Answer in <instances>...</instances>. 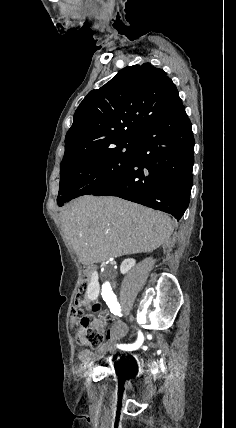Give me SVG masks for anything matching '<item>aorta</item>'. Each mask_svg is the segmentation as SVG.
I'll return each mask as SVG.
<instances>
[{"label":"aorta","instance_id":"1","mask_svg":"<svg viewBox=\"0 0 236 428\" xmlns=\"http://www.w3.org/2000/svg\"><path fill=\"white\" fill-rule=\"evenodd\" d=\"M105 286H106V287H108V288H110V284H109V282H106V283H105Z\"/></svg>","mask_w":236,"mask_h":428}]
</instances>
